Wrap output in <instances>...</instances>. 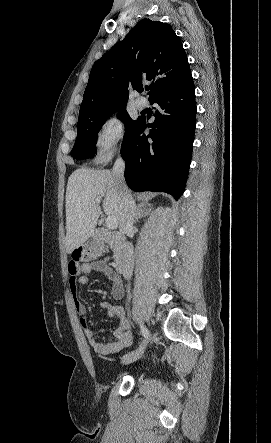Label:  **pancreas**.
<instances>
[{"label":"pancreas","mask_w":271,"mask_h":443,"mask_svg":"<svg viewBox=\"0 0 271 443\" xmlns=\"http://www.w3.org/2000/svg\"><path fill=\"white\" fill-rule=\"evenodd\" d=\"M106 243H109V241H107V239H105ZM111 249H114V245H112V243H109Z\"/></svg>","instance_id":"cf45deb5"}]
</instances>
